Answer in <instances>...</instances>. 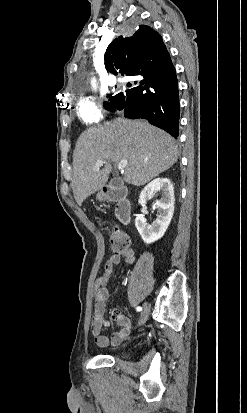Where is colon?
Returning <instances> with one entry per match:
<instances>
[{
	"label": "colon",
	"mask_w": 247,
	"mask_h": 413,
	"mask_svg": "<svg viewBox=\"0 0 247 413\" xmlns=\"http://www.w3.org/2000/svg\"><path fill=\"white\" fill-rule=\"evenodd\" d=\"M107 248L109 250H123L128 242V236L125 230L119 226H115L111 233L108 235Z\"/></svg>",
	"instance_id": "1"
}]
</instances>
